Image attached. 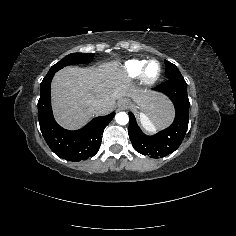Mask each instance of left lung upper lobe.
<instances>
[{
    "mask_svg": "<svg viewBox=\"0 0 236 236\" xmlns=\"http://www.w3.org/2000/svg\"><path fill=\"white\" fill-rule=\"evenodd\" d=\"M165 65H166L165 76L167 79L183 78L180 71L174 64L165 60Z\"/></svg>",
    "mask_w": 236,
    "mask_h": 236,
    "instance_id": "5c2ea615",
    "label": "left lung upper lobe"
}]
</instances>
